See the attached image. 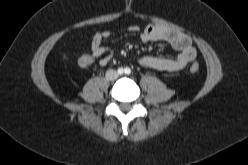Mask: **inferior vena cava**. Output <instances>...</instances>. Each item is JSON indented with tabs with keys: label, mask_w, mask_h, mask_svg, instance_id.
<instances>
[{
	"label": "inferior vena cava",
	"mask_w": 248,
	"mask_h": 165,
	"mask_svg": "<svg viewBox=\"0 0 248 165\" xmlns=\"http://www.w3.org/2000/svg\"><path fill=\"white\" fill-rule=\"evenodd\" d=\"M118 76L119 75H118L117 71H115V70H108L106 72V78L109 80H115L118 78Z\"/></svg>",
	"instance_id": "obj_1"
}]
</instances>
